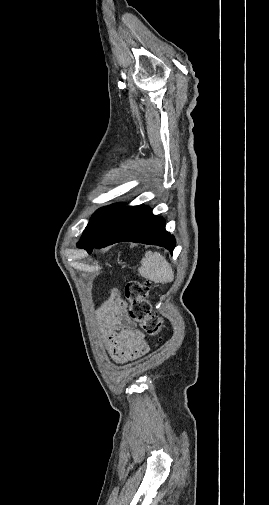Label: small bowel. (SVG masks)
<instances>
[{"mask_svg": "<svg viewBox=\"0 0 269 505\" xmlns=\"http://www.w3.org/2000/svg\"><path fill=\"white\" fill-rule=\"evenodd\" d=\"M100 329L109 353L117 363L135 360L147 353L149 345L144 334L136 329L127 313L126 303L117 290L97 312Z\"/></svg>", "mask_w": 269, "mask_h": 505, "instance_id": "c3829d8e", "label": "small bowel"}]
</instances>
